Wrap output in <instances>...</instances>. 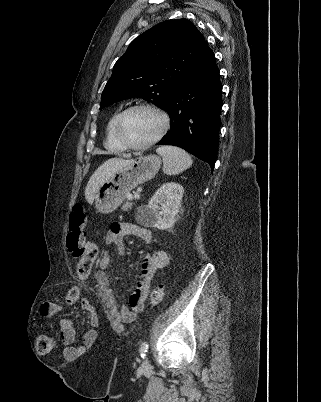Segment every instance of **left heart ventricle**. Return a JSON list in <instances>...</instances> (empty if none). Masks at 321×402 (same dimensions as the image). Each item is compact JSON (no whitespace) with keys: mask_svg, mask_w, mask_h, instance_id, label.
I'll use <instances>...</instances> for the list:
<instances>
[{"mask_svg":"<svg viewBox=\"0 0 321 402\" xmlns=\"http://www.w3.org/2000/svg\"><path fill=\"white\" fill-rule=\"evenodd\" d=\"M162 126L161 118L149 110L129 112L122 123V134L133 144H143L154 138Z\"/></svg>","mask_w":321,"mask_h":402,"instance_id":"obj_1","label":"left heart ventricle"}]
</instances>
